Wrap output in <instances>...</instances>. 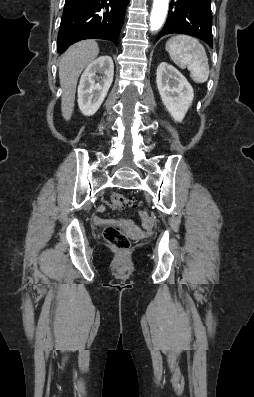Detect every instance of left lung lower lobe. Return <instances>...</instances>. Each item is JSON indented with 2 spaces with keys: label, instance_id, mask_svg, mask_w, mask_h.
<instances>
[{
  "label": "left lung lower lobe",
  "instance_id": "0a47b994",
  "mask_svg": "<svg viewBox=\"0 0 254 397\" xmlns=\"http://www.w3.org/2000/svg\"><path fill=\"white\" fill-rule=\"evenodd\" d=\"M169 33L195 36L213 47L211 0H171L165 26L156 40Z\"/></svg>",
  "mask_w": 254,
  "mask_h": 397
}]
</instances>
